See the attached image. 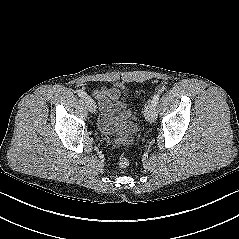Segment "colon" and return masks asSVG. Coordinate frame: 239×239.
Segmentation results:
<instances>
[{
    "label": "colon",
    "instance_id": "obj_1",
    "mask_svg": "<svg viewBox=\"0 0 239 239\" xmlns=\"http://www.w3.org/2000/svg\"><path fill=\"white\" fill-rule=\"evenodd\" d=\"M139 96L141 98H144L145 97V94L143 92L139 93ZM130 161H129V158L127 155L125 154H121L118 158V164L121 168H126L128 167Z\"/></svg>",
    "mask_w": 239,
    "mask_h": 239
}]
</instances>
